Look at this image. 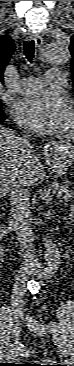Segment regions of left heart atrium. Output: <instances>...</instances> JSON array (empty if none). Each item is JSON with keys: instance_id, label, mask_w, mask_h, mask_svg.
Wrapping results in <instances>:
<instances>
[{"instance_id": "left-heart-atrium-1", "label": "left heart atrium", "mask_w": 74, "mask_h": 366, "mask_svg": "<svg viewBox=\"0 0 74 366\" xmlns=\"http://www.w3.org/2000/svg\"><path fill=\"white\" fill-rule=\"evenodd\" d=\"M15 120L36 131H61L67 125L70 104L60 92L47 91L18 100L12 109Z\"/></svg>"}]
</instances>
